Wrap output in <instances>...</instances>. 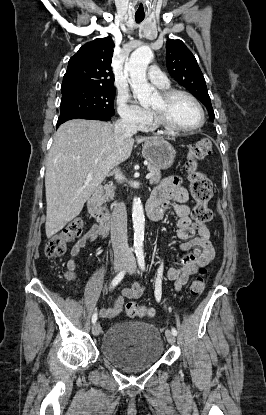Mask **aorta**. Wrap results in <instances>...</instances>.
Segmentation results:
<instances>
[{
	"instance_id": "762f6f07",
	"label": "aorta",
	"mask_w": 266,
	"mask_h": 415,
	"mask_svg": "<svg viewBox=\"0 0 266 415\" xmlns=\"http://www.w3.org/2000/svg\"><path fill=\"white\" fill-rule=\"evenodd\" d=\"M153 58V52L148 46L137 48L125 63V70L129 72L131 88L142 106L151 104L156 96V90L146 79V70ZM132 220L134 229V247L141 251L144 241L145 218L142 203L139 199L133 201Z\"/></svg>"
}]
</instances>
